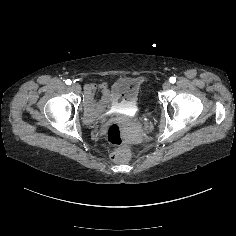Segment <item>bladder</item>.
<instances>
[{
	"label": "bladder",
	"mask_w": 236,
	"mask_h": 236,
	"mask_svg": "<svg viewBox=\"0 0 236 236\" xmlns=\"http://www.w3.org/2000/svg\"><path fill=\"white\" fill-rule=\"evenodd\" d=\"M140 84L137 79L131 77L117 78L111 85L108 96L119 101L133 102L139 96Z\"/></svg>",
	"instance_id": "bladder-1"
}]
</instances>
